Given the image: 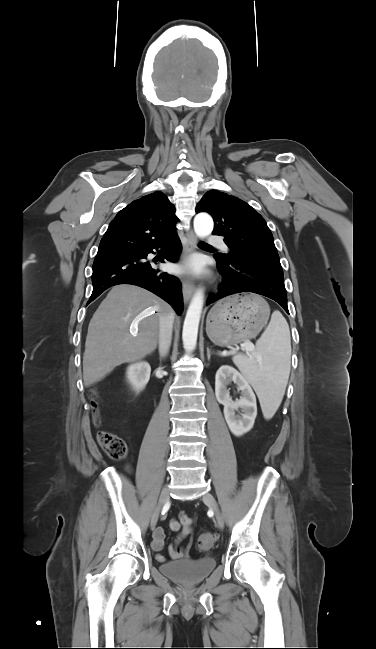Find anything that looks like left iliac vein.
Returning <instances> with one entry per match:
<instances>
[{
	"label": "left iliac vein",
	"instance_id": "1",
	"mask_svg": "<svg viewBox=\"0 0 376 649\" xmlns=\"http://www.w3.org/2000/svg\"><path fill=\"white\" fill-rule=\"evenodd\" d=\"M202 500L213 511L219 528L223 529V527H224V518H223V515H222V513H221V511L219 509V506H218L217 501L214 498V496L212 494H210V493H205L202 496Z\"/></svg>",
	"mask_w": 376,
	"mask_h": 649
}]
</instances>
